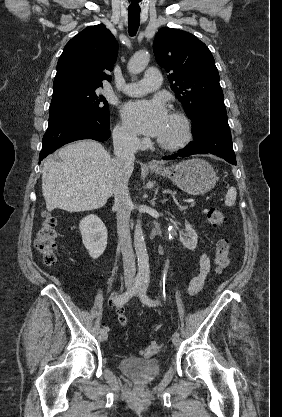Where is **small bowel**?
Returning a JSON list of instances; mask_svg holds the SVG:
<instances>
[{"mask_svg": "<svg viewBox=\"0 0 282 417\" xmlns=\"http://www.w3.org/2000/svg\"><path fill=\"white\" fill-rule=\"evenodd\" d=\"M198 264H199V271L197 275L194 276L188 284L187 293L190 296L196 295L203 289L205 285V281L209 275L211 263L206 253L200 254L198 258ZM116 298H117V293H114L111 295L110 300L113 302L115 301ZM115 310H116L117 318H118L120 325L123 328H125L127 326V318L125 315L124 307L121 305H117Z\"/></svg>", "mask_w": 282, "mask_h": 417, "instance_id": "obj_1", "label": "small bowel"}]
</instances>
